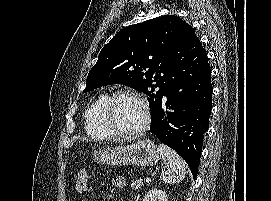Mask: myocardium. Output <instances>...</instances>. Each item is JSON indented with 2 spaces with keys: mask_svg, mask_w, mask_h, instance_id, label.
<instances>
[{
  "mask_svg": "<svg viewBox=\"0 0 271 201\" xmlns=\"http://www.w3.org/2000/svg\"><path fill=\"white\" fill-rule=\"evenodd\" d=\"M123 96H130V97L135 98L136 100H138L141 103V105L144 109V114H145L144 122L136 130H133V131L121 130L120 128H118V126L116 125V123L113 119V115H112L113 105L118 98L123 97ZM102 115H103V119H104L106 125L109 127V129L116 136H120V137L139 136L149 129V127L151 125V121H152L151 110H150V106H149L147 99L142 94H140L139 92H137L133 89H120V90L113 92L111 95H109V97L107 98V100L104 104V107L102 110Z\"/></svg>",
  "mask_w": 271,
  "mask_h": 201,
  "instance_id": "f54148a6",
  "label": "myocardium"
}]
</instances>
